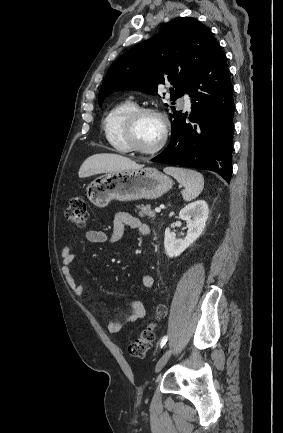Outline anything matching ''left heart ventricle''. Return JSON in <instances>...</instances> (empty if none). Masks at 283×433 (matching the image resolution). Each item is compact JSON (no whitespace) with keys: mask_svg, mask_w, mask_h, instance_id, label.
<instances>
[{"mask_svg":"<svg viewBox=\"0 0 283 433\" xmlns=\"http://www.w3.org/2000/svg\"><path fill=\"white\" fill-rule=\"evenodd\" d=\"M163 131V123L153 114L142 116L136 126L135 139L145 150H153L158 145Z\"/></svg>","mask_w":283,"mask_h":433,"instance_id":"left-heart-ventricle-1","label":"left heart ventricle"}]
</instances>
